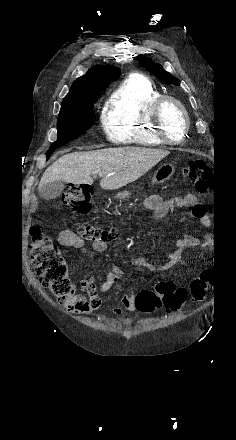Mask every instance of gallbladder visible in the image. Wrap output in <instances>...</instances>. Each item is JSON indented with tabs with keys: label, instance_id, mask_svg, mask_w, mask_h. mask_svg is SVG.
I'll return each mask as SVG.
<instances>
[{
	"label": "gallbladder",
	"instance_id": "obj_1",
	"mask_svg": "<svg viewBox=\"0 0 236 440\" xmlns=\"http://www.w3.org/2000/svg\"><path fill=\"white\" fill-rule=\"evenodd\" d=\"M64 189V183L62 181H54L44 185L40 191L39 195L44 200H53L57 198Z\"/></svg>",
	"mask_w": 236,
	"mask_h": 440
}]
</instances>
